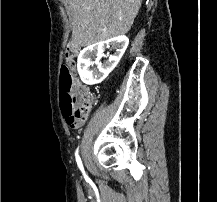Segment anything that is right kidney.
I'll list each match as a JSON object with an SVG mask.
<instances>
[{"instance_id":"right-kidney-1","label":"right kidney","mask_w":217,"mask_h":202,"mask_svg":"<svg viewBox=\"0 0 217 202\" xmlns=\"http://www.w3.org/2000/svg\"><path fill=\"white\" fill-rule=\"evenodd\" d=\"M129 44L126 36H118V38H111L106 42H97L93 46H88L80 52L78 56V72L82 82L85 84H100L108 74L116 68L120 58H122L127 46ZM105 46H110V50H114L112 56H108V60L101 64L100 60L103 58ZM95 60V62H93ZM96 64L97 70H90V66Z\"/></svg>"}]
</instances>
